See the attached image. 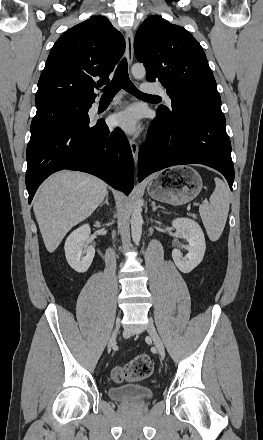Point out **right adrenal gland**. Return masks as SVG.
<instances>
[{"label": "right adrenal gland", "instance_id": "1", "mask_svg": "<svg viewBox=\"0 0 263 440\" xmlns=\"http://www.w3.org/2000/svg\"><path fill=\"white\" fill-rule=\"evenodd\" d=\"M104 204L109 205V202H108V194H107L106 197H105V201H104L103 203H101L100 207H102Z\"/></svg>", "mask_w": 263, "mask_h": 440}]
</instances>
